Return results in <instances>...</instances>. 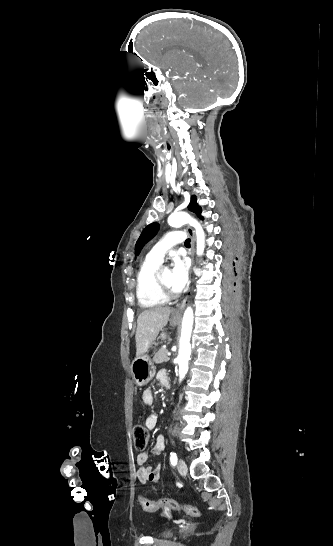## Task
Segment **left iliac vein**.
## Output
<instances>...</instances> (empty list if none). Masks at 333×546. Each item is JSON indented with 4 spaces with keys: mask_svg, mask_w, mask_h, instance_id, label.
<instances>
[{
    "mask_svg": "<svg viewBox=\"0 0 333 546\" xmlns=\"http://www.w3.org/2000/svg\"><path fill=\"white\" fill-rule=\"evenodd\" d=\"M177 468L181 475H185L187 473V466L183 459H179Z\"/></svg>",
    "mask_w": 333,
    "mask_h": 546,
    "instance_id": "4c4485c4",
    "label": "left iliac vein"
}]
</instances>
